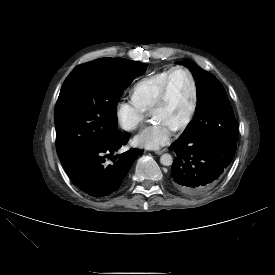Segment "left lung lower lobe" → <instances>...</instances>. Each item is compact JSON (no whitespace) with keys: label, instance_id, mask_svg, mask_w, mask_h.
<instances>
[{"label":"left lung lower lobe","instance_id":"1","mask_svg":"<svg viewBox=\"0 0 275 275\" xmlns=\"http://www.w3.org/2000/svg\"><path fill=\"white\" fill-rule=\"evenodd\" d=\"M171 148L176 153L171 176L182 193L197 195L211 189L231 163L236 141L227 135L178 138Z\"/></svg>","mask_w":275,"mask_h":275}]
</instances>
